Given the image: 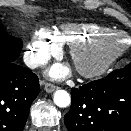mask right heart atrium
Returning a JSON list of instances; mask_svg holds the SVG:
<instances>
[{
  "instance_id": "obj_1",
  "label": "right heart atrium",
  "mask_w": 131,
  "mask_h": 131,
  "mask_svg": "<svg viewBox=\"0 0 131 131\" xmlns=\"http://www.w3.org/2000/svg\"><path fill=\"white\" fill-rule=\"evenodd\" d=\"M60 47L47 29L38 30L32 37L25 53L26 63L36 66L59 52Z\"/></svg>"
}]
</instances>
